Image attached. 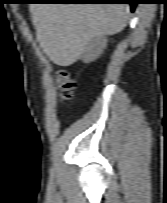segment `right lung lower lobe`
<instances>
[{"label": "right lung lower lobe", "instance_id": "right-lung-lower-lobe-1", "mask_svg": "<svg viewBox=\"0 0 167 203\" xmlns=\"http://www.w3.org/2000/svg\"><path fill=\"white\" fill-rule=\"evenodd\" d=\"M80 3H101V4H113V3H127L131 5V11L135 10L137 4L136 0H82Z\"/></svg>", "mask_w": 167, "mask_h": 203}]
</instances>
